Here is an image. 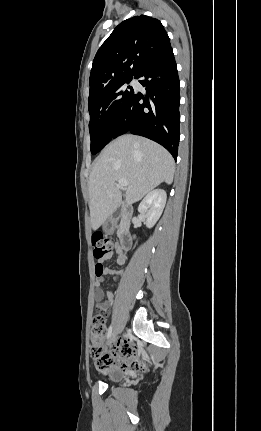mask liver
I'll list each match as a JSON object with an SVG mask.
<instances>
[{
    "label": "liver",
    "mask_w": 261,
    "mask_h": 431,
    "mask_svg": "<svg viewBox=\"0 0 261 431\" xmlns=\"http://www.w3.org/2000/svg\"><path fill=\"white\" fill-rule=\"evenodd\" d=\"M174 169L171 154L149 139L129 134L109 143L95 160L88 181L92 229L104 224L121 204L119 179L129 182L126 198L134 203L162 182L171 184Z\"/></svg>",
    "instance_id": "liver-1"
}]
</instances>
